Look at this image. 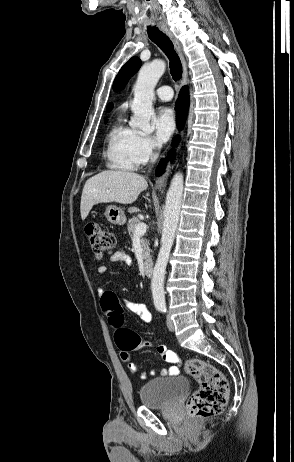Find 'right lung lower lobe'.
I'll use <instances>...</instances> for the list:
<instances>
[{
	"mask_svg": "<svg viewBox=\"0 0 294 462\" xmlns=\"http://www.w3.org/2000/svg\"><path fill=\"white\" fill-rule=\"evenodd\" d=\"M188 108H189L188 88L186 86H184L181 89L179 97H178V99L176 101V110H177V115H178L177 123H178L179 127H182L183 124L185 123ZM177 140H178V138H175L174 144L176 143ZM168 157H169V160H172L174 158V153L169 152ZM166 162H167L166 159L161 160V162L159 163V166H158V168L156 170V175H161L164 172Z\"/></svg>",
	"mask_w": 294,
	"mask_h": 462,
	"instance_id": "right-lung-lower-lobe-1",
	"label": "right lung lower lobe"
}]
</instances>
